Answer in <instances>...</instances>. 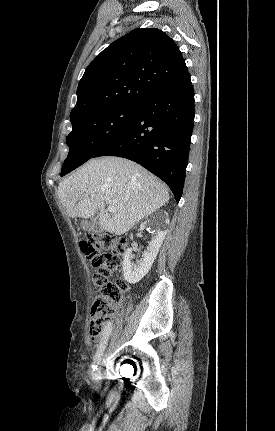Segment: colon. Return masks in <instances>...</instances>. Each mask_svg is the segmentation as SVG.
Masks as SVG:
<instances>
[{
    "mask_svg": "<svg viewBox=\"0 0 275 431\" xmlns=\"http://www.w3.org/2000/svg\"><path fill=\"white\" fill-rule=\"evenodd\" d=\"M126 245L125 240L109 233H92L80 242V249L93 268V282L101 288L91 307L89 333L93 338L101 336L107 322L115 316L127 288L122 280L109 281L121 265Z\"/></svg>",
    "mask_w": 275,
    "mask_h": 431,
    "instance_id": "1",
    "label": "colon"
}]
</instances>
